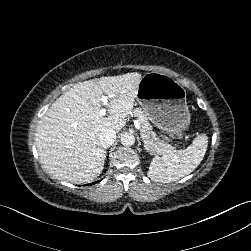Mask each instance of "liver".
Wrapping results in <instances>:
<instances>
[{"instance_id":"liver-1","label":"liver","mask_w":251,"mask_h":251,"mask_svg":"<svg viewBox=\"0 0 251 251\" xmlns=\"http://www.w3.org/2000/svg\"><path fill=\"white\" fill-rule=\"evenodd\" d=\"M141 74L101 77L79 82L58 98L41 117L36 129V146L47 171L64 181L87 183L104 168L105 151L99 140L105 129L118 131L132 109ZM106 94L102 117L101 97Z\"/></svg>"}]
</instances>
